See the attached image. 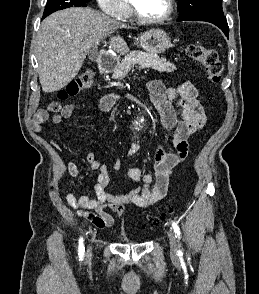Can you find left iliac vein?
Returning <instances> with one entry per match:
<instances>
[{"label": "left iliac vein", "instance_id": "left-iliac-vein-1", "mask_svg": "<svg viewBox=\"0 0 259 294\" xmlns=\"http://www.w3.org/2000/svg\"><path fill=\"white\" fill-rule=\"evenodd\" d=\"M168 238L170 243V253L175 256L177 253V240L172 230H169Z\"/></svg>", "mask_w": 259, "mask_h": 294}]
</instances>
